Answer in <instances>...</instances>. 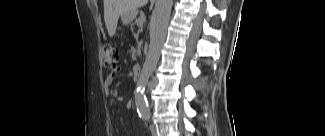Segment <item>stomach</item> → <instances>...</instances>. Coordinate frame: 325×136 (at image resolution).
<instances>
[{"mask_svg":"<svg viewBox=\"0 0 325 136\" xmlns=\"http://www.w3.org/2000/svg\"><path fill=\"white\" fill-rule=\"evenodd\" d=\"M137 13L136 12H130V13H127V14H124L122 15V21L125 23V24H128L130 23L131 21H133V19L136 17Z\"/></svg>","mask_w":325,"mask_h":136,"instance_id":"obj_1","label":"stomach"}]
</instances>
